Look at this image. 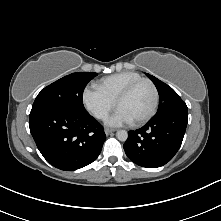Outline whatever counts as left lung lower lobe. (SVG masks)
Here are the masks:
<instances>
[{"instance_id":"0a47b994","label":"left lung lower lobe","mask_w":221,"mask_h":221,"mask_svg":"<svg viewBox=\"0 0 221 221\" xmlns=\"http://www.w3.org/2000/svg\"><path fill=\"white\" fill-rule=\"evenodd\" d=\"M188 112L174 111L152 118L145 126L129 131L123 147L126 155L139 166L161 167L169 162L181 146Z\"/></svg>"}]
</instances>
